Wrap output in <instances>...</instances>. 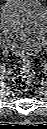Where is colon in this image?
<instances>
[{
  "mask_svg": "<svg viewBox=\"0 0 47 129\" xmlns=\"http://www.w3.org/2000/svg\"><path fill=\"white\" fill-rule=\"evenodd\" d=\"M31 83V63L25 59L19 72L13 78L12 86L18 92H25L30 88Z\"/></svg>",
  "mask_w": 47,
  "mask_h": 129,
  "instance_id": "colon-1",
  "label": "colon"
}]
</instances>
